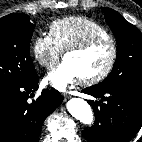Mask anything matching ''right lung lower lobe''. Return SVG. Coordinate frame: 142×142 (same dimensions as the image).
<instances>
[{"instance_id":"right-lung-lower-lobe-1","label":"right lung lower lobe","mask_w":142,"mask_h":142,"mask_svg":"<svg viewBox=\"0 0 142 142\" xmlns=\"http://www.w3.org/2000/svg\"><path fill=\"white\" fill-rule=\"evenodd\" d=\"M38 89V76L20 86L0 91V142H38L44 120L62 102L59 92Z\"/></svg>"}]
</instances>
